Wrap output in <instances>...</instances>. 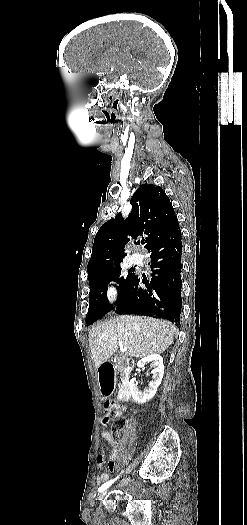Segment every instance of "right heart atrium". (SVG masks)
<instances>
[{"label":"right heart atrium","instance_id":"obj_1","mask_svg":"<svg viewBox=\"0 0 247 525\" xmlns=\"http://www.w3.org/2000/svg\"><path fill=\"white\" fill-rule=\"evenodd\" d=\"M118 296L117 285L115 281L110 280L107 282L105 287V297L109 303L116 301Z\"/></svg>","mask_w":247,"mask_h":525}]
</instances>
